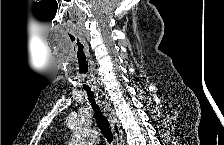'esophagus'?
<instances>
[{
  "label": "esophagus",
  "instance_id": "1",
  "mask_svg": "<svg viewBox=\"0 0 224 145\" xmlns=\"http://www.w3.org/2000/svg\"><path fill=\"white\" fill-rule=\"evenodd\" d=\"M100 107L108 117L116 145H121L123 142V131L121 129V124L114 113V110L111 109L110 105L105 104V102H101Z\"/></svg>",
  "mask_w": 224,
  "mask_h": 145
}]
</instances>
